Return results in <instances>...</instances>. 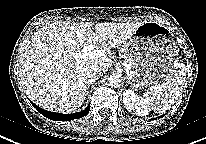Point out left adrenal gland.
I'll return each mask as SVG.
<instances>
[{
    "mask_svg": "<svg viewBox=\"0 0 206 144\" xmlns=\"http://www.w3.org/2000/svg\"><path fill=\"white\" fill-rule=\"evenodd\" d=\"M129 84H130L129 79H126V85H129Z\"/></svg>",
    "mask_w": 206,
    "mask_h": 144,
    "instance_id": "1",
    "label": "left adrenal gland"
}]
</instances>
